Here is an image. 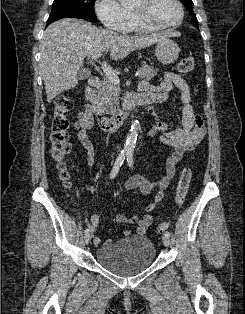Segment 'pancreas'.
Instances as JSON below:
<instances>
[{
	"label": "pancreas",
	"instance_id": "obj_1",
	"mask_svg": "<svg viewBox=\"0 0 245 314\" xmlns=\"http://www.w3.org/2000/svg\"><path fill=\"white\" fill-rule=\"evenodd\" d=\"M140 79L149 81L157 74L158 69H154L149 65H142L139 68ZM120 87L118 84H114L109 81L108 78L102 81L97 94L95 96V104L102 109L106 114H113L116 110V105L119 100Z\"/></svg>",
	"mask_w": 245,
	"mask_h": 314
}]
</instances>
